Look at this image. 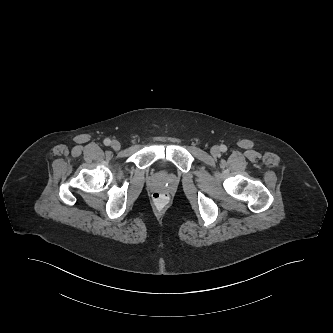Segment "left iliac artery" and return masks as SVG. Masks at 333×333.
Masks as SVG:
<instances>
[{
	"label": "left iliac artery",
	"instance_id": "1",
	"mask_svg": "<svg viewBox=\"0 0 333 333\" xmlns=\"http://www.w3.org/2000/svg\"><path fill=\"white\" fill-rule=\"evenodd\" d=\"M220 150L222 152H226L227 151V147L225 145H221Z\"/></svg>",
	"mask_w": 333,
	"mask_h": 333
}]
</instances>
